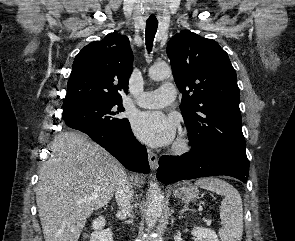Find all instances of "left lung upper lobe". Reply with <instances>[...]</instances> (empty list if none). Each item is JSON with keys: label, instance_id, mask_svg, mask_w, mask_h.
<instances>
[{"label": "left lung upper lobe", "instance_id": "left-lung-upper-lobe-1", "mask_svg": "<svg viewBox=\"0 0 295 241\" xmlns=\"http://www.w3.org/2000/svg\"><path fill=\"white\" fill-rule=\"evenodd\" d=\"M167 55L192 150L224 147L246 154L240 92L228 54L216 41L185 31L170 39Z\"/></svg>", "mask_w": 295, "mask_h": 241}]
</instances>
